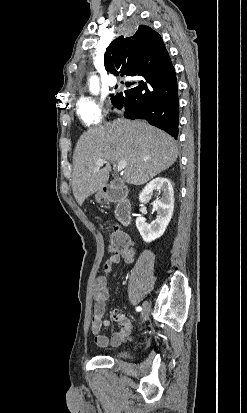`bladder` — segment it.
Listing matches in <instances>:
<instances>
[{
  "instance_id": "31cf9c89",
  "label": "bladder",
  "mask_w": 247,
  "mask_h": 413,
  "mask_svg": "<svg viewBox=\"0 0 247 413\" xmlns=\"http://www.w3.org/2000/svg\"><path fill=\"white\" fill-rule=\"evenodd\" d=\"M112 354H114L115 356H125L127 354V350H117L115 352H113Z\"/></svg>"
}]
</instances>
